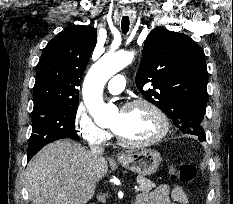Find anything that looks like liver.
<instances>
[{"instance_id":"6515ba94","label":"liver","mask_w":233,"mask_h":204,"mask_svg":"<svg viewBox=\"0 0 233 204\" xmlns=\"http://www.w3.org/2000/svg\"><path fill=\"white\" fill-rule=\"evenodd\" d=\"M107 172L106 159H95L91 151L79 143L70 139L49 143L27 166L31 203L86 204Z\"/></svg>"}]
</instances>
